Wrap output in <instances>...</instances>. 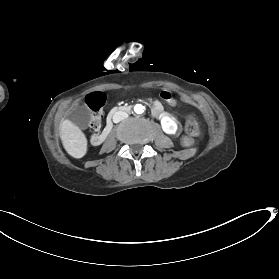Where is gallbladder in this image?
Returning a JSON list of instances; mask_svg holds the SVG:
<instances>
[{
	"mask_svg": "<svg viewBox=\"0 0 279 279\" xmlns=\"http://www.w3.org/2000/svg\"><path fill=\"white\" fill-rule=\"evenodd\" d=\"M93 115L91 108L87 106H76L69 109L67 117L69 121L77 123L80 130L85 131L89 127L90 119Z\"/></svg>",
	"mask_w": 279,
	"mask_h": 279,
	"instance_id": "gallbladder-1",
	"label": "gallbladder"
}]
</instances>
